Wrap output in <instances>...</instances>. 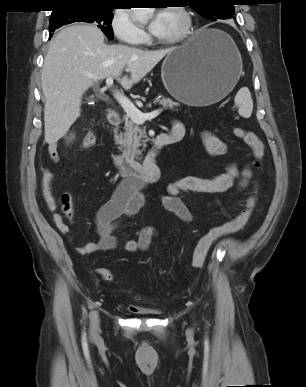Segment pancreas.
<instances>
[{"mask_svg": "<svg viewBox=\"0 0 306 387\" xmlns=\"http://www.w3.org/2000/svg\"><path fill=\"white\" fill-rule=\"evenodd\" d=\"M155 103L162 105L164 108L170 109L179 105L177 102L172 101V99L165 97L160 100H156ZM148 107H151V104H148ZM124 123L125 131L119 134V138L117 140V143L120 145L119 149L124 155L138 157L142 154V151L146 147V142L148 141L146 131L141 129L128 117H124ZM140 147H143V149L140 150Z\"/></svg>", "mask_w": 306, "mask_h": 387, "instance_id": "cf45deb5", "label": "pancreas"}]
</instances>
